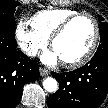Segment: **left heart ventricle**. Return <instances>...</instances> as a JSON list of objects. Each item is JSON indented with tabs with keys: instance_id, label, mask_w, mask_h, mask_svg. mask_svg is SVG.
Segmentation results:
<instances>
[{
	"instance_id": "obj_1",
	"label": "left heart ventricle",
	"mask_w": 108,
	"mask_h": 108,
	"mask_svg": "<svg viewBox=\"0 0 108 108\" xmlns=\"http://www.w3.org/2000/svg\"><path fill=\"white\" fill-rule=\"evenodd\" d=\"M93 37L92 22L88 18H79L55 41L53 50L58 54L61 61H72L87 51Z\"/></svg>"
}]
</instances>
